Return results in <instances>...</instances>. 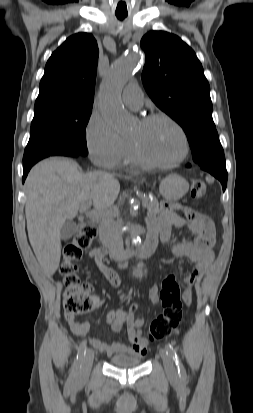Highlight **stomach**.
<instances>
[{
  "label": "stomach",
  "instance_id": "stomach-1",
  "mask_svg": "<svg viewBox=\"0 0 253 413\" xmlns=\"http://www.w3.org/2000/svg\"><path fill=\"white\" fill-rule=\"evenodd\" d=\"M189 190V184L182 176L170 174L165 177L159 186L160 194L169 201L181 199Z\"/></svg>",
  "mask_w": 253,
  "mask_h": 413
}]
</instances>
